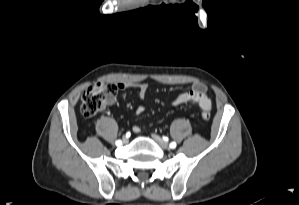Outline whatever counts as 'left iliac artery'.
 Returning a JSON list of instances; mask_svg holds the SVG:
<instances>
[{
    "instance_id": "1",
    "label": "left iliac artery",
    "mask_w": 299,
    "mask_h": 205,
    "mask_svg": "<svg viewBox=\"0 0 299 205\" xmlns=\"http://www.w3.org/2000/svg\"><path fill=\"white\" fill-rule=\"evenodd\" d=\"M176 147V143L175 142H172V143H170V148H175Z\"/></svg>"
}]
</instances>
